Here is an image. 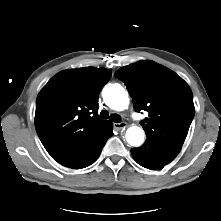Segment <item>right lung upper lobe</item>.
Instances as JSON below:
<instances>
[{
	"instance_id": "1",
	"label": "right lung upper lobe",
	"mask_w": 221,
	"mask_h": 221,
	"mask_svg": "<svg viewBox=\"0 0 221 221\" xmlns=\"http://www.w3.org/2000/svg\"><path fill=\"white\" fill-rule=\"evenodd\" d=\"M111 74L110 69L95 67L65 70L40 91L35 127L45 149L58 163L109 124L98 117V96Z\"/></svg>"
}]
</instances>
